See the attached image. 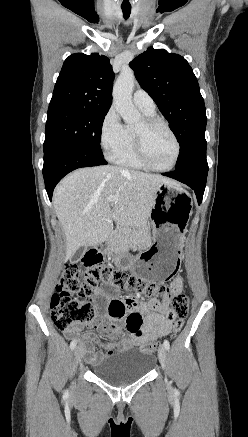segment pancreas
<instances>
[{
  "instance_id": "cf45deb5",
  "label": "pancreas",
  "mask_w": 248,
  "mask_h": 437,
  "mask_svg": "<svg viewBox=\"0 0 248 437\" xmlns=\"http://www.w3.org/2000/svg\"><path fill=\"white\" fill-rule=\"evenodd\" d=\"M131 231V227L121 228L120 230L116 231L114 233V236L116 238V244L122 246L127 244Z\"/></svg>"
}]
</instances>
